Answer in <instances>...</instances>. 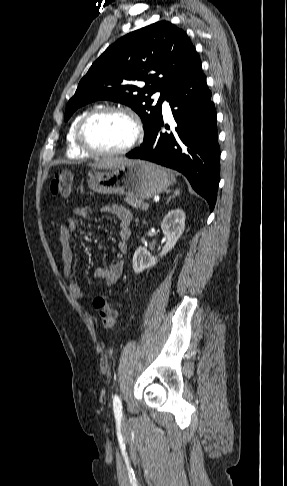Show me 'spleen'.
<instances>
[{"mask_svg":"<svg viewBox=\"0 0 287 486\" xmlns=\"http://www.w3.org/2000/svg\"><path fill=\"white\" fill-rule=\"evenodd\" d=\"M171 179H172L173 182L176 181L175 177L172 174H171Z\"/></svg>","mask_w":287,"mask_h":486,"instance_id":"spleen-1","label":"spleen"}]
</instances>
